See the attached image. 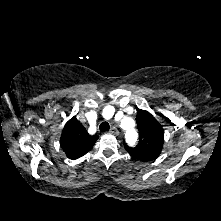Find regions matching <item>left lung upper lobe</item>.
I'll use <instances>...</instances> for the list:
<instances>
[{
    "label": "left lung upper lobe",
    "instance_id": "5c2ea615",
    "mask_svg": "<svg viewBox=\"0 0 221 221\" xmlns=\"http://www.w3.org/2000/svg\"><path fill=\"white\" fill-rule=\"evenodd\" d=\"M136 122L139 130V143L135 148L124 143L127 152L141 161L156 159L162 150L164 131L159 122L147 111L138 110Z\"/></svg>",
    "mask_w": 221,
    "mask_h": 221
}]
</instances>
